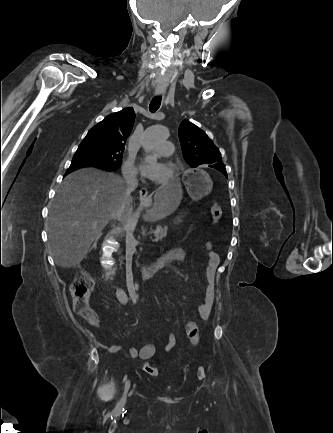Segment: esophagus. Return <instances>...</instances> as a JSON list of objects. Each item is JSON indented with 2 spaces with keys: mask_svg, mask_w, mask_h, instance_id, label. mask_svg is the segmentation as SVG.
<instances>
[{
  "mask_svg": "<svg viewBox=\"0 0 333 433\" xmlns=\"http://www.w3.org/2000/svg\"><path fill=\"white\" fill-rule=\"evenodd\" d=\"M156 95L164 97V89L157 88L156 89ZM139 198H140L141 201L148 200V191H147V189L145 187H142L140 189V191H139Z\"/></svg>",
  "mask_w": 333,
  "mask_h": 433,
  "instance_id": "obj_1",
  "label": "esophagus"
}]
</instances>
